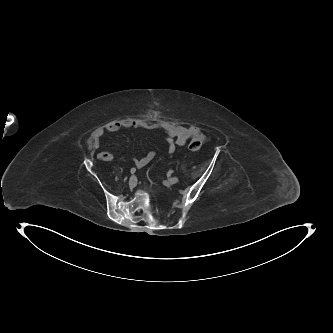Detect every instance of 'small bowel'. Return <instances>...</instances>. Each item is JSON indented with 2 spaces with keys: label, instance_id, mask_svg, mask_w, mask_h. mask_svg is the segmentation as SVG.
Wrapping results in <instances>:
<instances>
[{
  "label": "small bowel",
  "instance_id": "c3829d8e",
  "mask_svg": "<svg viewBox=\"0 0 333 333\" xmlns=\"http://www.w3.org/2000/svg\"><path fill=\"white\" fill-rule=\"evenodd\" d=\"M141 129V130H161L165 134V141L167 145V151L169 153L175 152L178 146H184L191 138H199L204 141L205 136L200 129L194 125L184 126L178 123L170 121L150 122L142 119H123L120 121L109 122L105 128H98L92 137L90 147L92 150H97L100 147L101 138L104 135V131L114 133L121 129ZM154 151H148L142 157H135L134 162L137 167L141 168L151 162L155 157ZM97 158L101 161H110L114 158L111 152L102 151L97 153Z\"/></svg>",
  "mask_w": 333,
  "mask_h": 333
}]
</instances>
